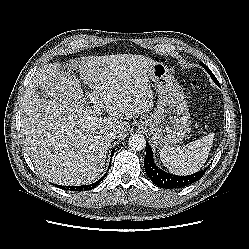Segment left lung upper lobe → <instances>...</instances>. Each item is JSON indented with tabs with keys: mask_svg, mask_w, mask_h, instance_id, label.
I'll use <instances>...</instances> for the list:
<instances>
[{
	"mask_svg": "<svg viewBox=\"0 0 249 249\" xmlns=\"http://www.w3.org/2000/svg\"><path fill=\"white\" fill-rule=\"evenodd\" d=\"M200 65L209 73V75L211 76V78L215 82V84L217 86H220L218 80L216 79V77L214 76V74L211 72V70L205 64H203V63H200Z\"/></svg>",
	"mask_w": 249,
	"mask_h": 249,
	"instance_id": "left-lung-upper-lobe-1",
	"label": "left lung upper lobe"
}]
</instances>
